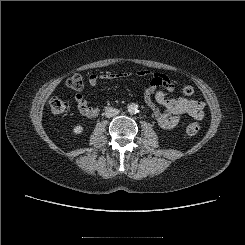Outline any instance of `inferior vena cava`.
<instances>
[{
	"instance_id": "1",
	"label": "inferior vena cava",
	"mask_w": 245,
	"mask_h": 245,
	"mask_svg": "<svg viewBox=\"0 0 245 245\" xmlns=\"http://www.w3.org/2000/svg\"><path fill=\"white\" fill-rule=\"evenodd\" d=\"M119 114V110L116 108H109L105 111V117L111 118Z\"/></svg>"
}]
</instances>
